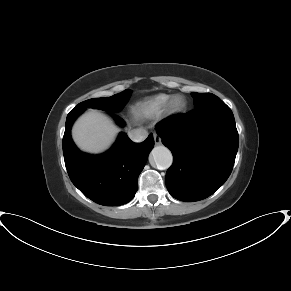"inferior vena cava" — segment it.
<instances>
[{
    "mask_svg": "<svg viewBox=\"0 0 291 291\" xmlns=\"http://www.w3.org/2000/svg\"><path fill=\"white\" fill-rule=\"evenodd\" d=\"M128 136L133 142L139 143L147 138L148 132L144 128H138L129 131Z\"/></svg>",
    "mask_w": 291,
    "mask_h": 291,
    "instance_id": "1",
    "label": "inferior vena cava"
}]
</instances>
